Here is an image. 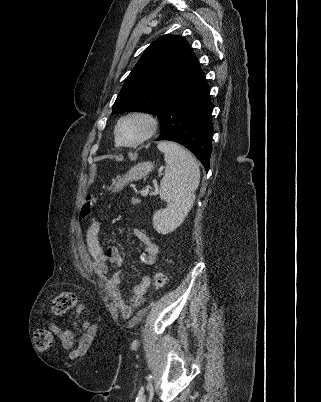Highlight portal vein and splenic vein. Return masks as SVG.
<instances>
[{
	"mask_svg": "<svg viewBox=\"0 0 321 402\" xmlns=\"http://www.w3.org/2000/svg\"><path fill=\"white\" fill-rule=\"evenodd\" d=\"M140 193L142 196H147L149 193V188L142 189Z\"/></svg>",
	"mask_w": 321,
	"mask_h": 402,
	"instance_id": "1",
	"label": "portal vein and splenic vein"
}]
</instances>
